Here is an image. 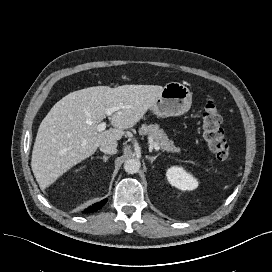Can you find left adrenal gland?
<instances>
[{
	"label": "left adrenal gland",
	"instance_id": "obj_1",
	"mask_svg": "<svg viewBox=\"0 0 272 272\" xmlns=\"http://www.w3.org/2000/svg\"><path fill=\"white\" fill-rule=\"evenodd\" d=\"M158 156H160V153H158V154L155 155V156H149V157H147V159L150 160L151 163H153V161L156 160V158H157Z\"/></svg>",
	"mask_w": 272,
	"mask_h": 272
}]
</instances>
